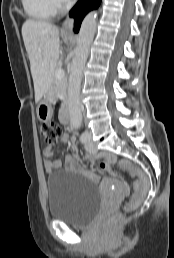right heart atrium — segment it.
<instances>
[{
	"instance_id": "1",
	"label": "right heart atrium",
	"mask_w": 174,
	"mask_h": 258,
	"mask_svg": "<svg viewBox=\"0 0 174 258\" xmlns=\"http://www.w3.org/2000/svg\"><path fill=\"white\" fill-rule=\"evenodd\" d=\"M53 2L55 4L56 8L61 9V8L65 7V5L68 3V0H53Z\"/></svg>"
}]
</instances>
